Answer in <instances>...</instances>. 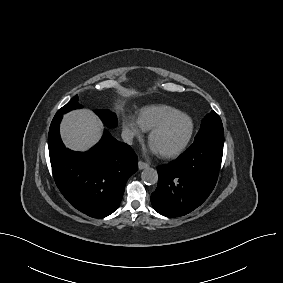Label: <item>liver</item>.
<instances>
[{
	"label": "liver",
	"instance_id": "liver-1",
	"mask_svg": "<svg viewBox=\"0 0 283 283\" xmlns=\"http://www.w3.org/2000/svg\"><path fill=\"white\" fill-rule=\"evenodd\" d=\"M102 129L101 121L93 112L81 109L64 116L60 131L67 147L86 151L99 141Z\"/></svg>",
	"mask_w": 283,
	"mask_h": 283
}]
</instances>
